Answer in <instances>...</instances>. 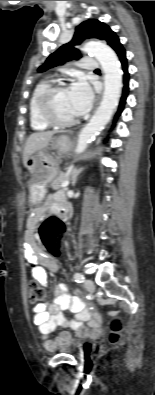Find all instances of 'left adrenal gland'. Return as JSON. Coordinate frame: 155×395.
I'll use <instances>...</instances> for the list:
<instances>
[{"label":"left adrenal gland","instance_id":"obj_1","mask_svg":"<svg viewBox=\"0 0 155 395\" xmlns=\"http://www.w3.org/2000/svg\"><path fill=\"white\" fill-rule=\"evenodd\" d=\"M83 168H74L71 172L72 176V186L75 185L78 175L82 172Z\"/></svg>","mask_w":155,"mask_h":395}]
</instances>
